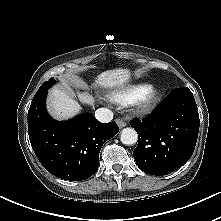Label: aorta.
<instances>
[{"mask_svg":"<svg viewBox=\"0 0 221 221\" xmlns=\"http://www.w3.org/2000/svg\"><path fill=\"white\" fill-rule=\"evenodd\" d=\"M120 140L125 145H133L138 140V134L133 128H124L121 131Z\"/></svg>","mask_w":221,"mask_h":221,"instance_id":"762f6f07","label":"aorta"}]
</instances>
